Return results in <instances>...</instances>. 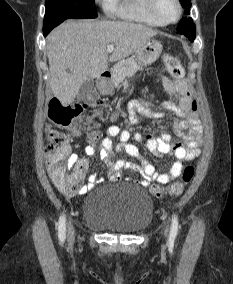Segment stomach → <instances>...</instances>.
Masks as SVG:
<instances>
[{"label": "stomach", "mask_w": 233, "mask_h": 284, "mask_svg": "<svg viewBox=\"0 0 233 284\" xmlns=\"http://www.w3.org/2000/svg\"><path fill=\"white\" fill-rule=\"evenodd\" d=\"M163 46L159 41L148 40L143 47L135 53L136 60L141 67L154 63L161 55ZM116 85L115 77L100 86L102 93H110Z\"/></svg>", "instance_id": "1"}]
</instances>
